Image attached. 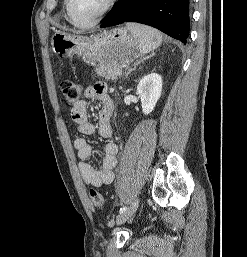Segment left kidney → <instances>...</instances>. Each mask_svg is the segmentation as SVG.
<instances>
[{
  "label": "left kidney",
  "instance_id": "obj_1",
  "mask_svg": "<svg viewBox=\"0 0 247 257\" xmlns=\"http://www.w3.org/2000/svg\"><path fill=\"white\" fill-rule=\"evenodd\" d=\"M162 92V77L157 73L144 76L137 85V93L141 99L142 111L150 114Z\"/></svg>",
  "mask_w": 247,
  "mask_h": 257
}]
</instances>
